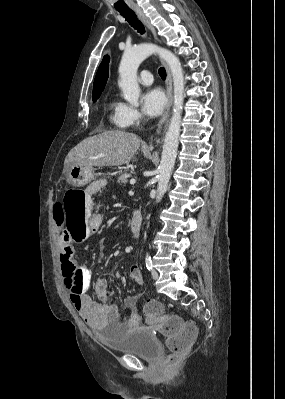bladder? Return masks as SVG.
<instances>
[{
  "mask_svg": "<svg viewBox=\"0 0 285 399\" xmlns=\"http://www.w3.org/2000/svg\"><path fill=\"white\" fill-rule=\"evenodd\" d=\"M105 345L114 352L131 354L146 359L159 357L161 347L155 336L145 328L132 327L124 331L123 335L115 333H101Z\"/></svg>",
  "mask_w": 285,
  "mask_h": 399,
  "instance_id": "1",
  "label": "bladder"
}]
</instances>
